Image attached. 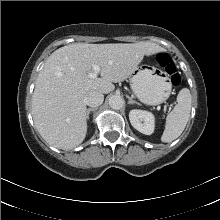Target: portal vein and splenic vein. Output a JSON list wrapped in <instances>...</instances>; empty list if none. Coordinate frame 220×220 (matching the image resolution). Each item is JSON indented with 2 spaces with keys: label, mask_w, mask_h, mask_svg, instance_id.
Masks as SVG:
<instances>
[{
  "label": "portal vein and splenic vein",
  "mask_w": 220,
  "mask_h": 220,
  "mask_svg": "<svg viewBox=\"0 0 220 220\" xmlns=\"http://www.w3.org/2000/svg\"><path fill=\"white\" fill-rule=\"evenodd\" d=\"M99 73H100V67L98 65H94L93 71L88 74V77L89 78H96L99 75Z\"/></svg>",
  "instance_id": "1"
}]
</instances>
